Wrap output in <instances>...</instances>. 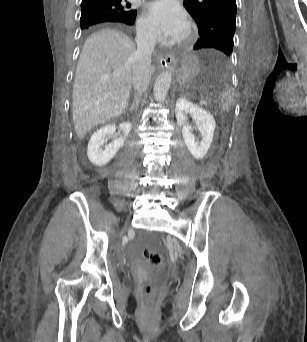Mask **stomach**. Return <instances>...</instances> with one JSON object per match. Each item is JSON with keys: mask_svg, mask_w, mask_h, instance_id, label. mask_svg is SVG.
<instances>
[{"mask_svg": "<svg viewBox=\"0 0 307 342\" xmlns=\"http://www.w3.org/2000/svg\"><path fill=\"white\" fill-rule=\"evenodd\" d=\"M172 67L175 68L178 75V82L183 87H188L196 72V59L192 55L183 56L172 62Z\"/></svg>", "mask_w": 307, "mask_h": 342, "instance_id": "1", "label": "stomach"}]
</instances>
